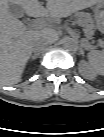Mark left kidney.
<instances>
[{
    "label": "left kidney",
    "instance_id": "5707ae66",
    "mask_svg": "<svg viewBox=\"0 0 104 137\" xmlns=\"http://www.w3.org/2000/svg\"><path fill=\"white\" fill-rule=\"evenodd\" d=\"M80 69L84 75L88 77L94 76L96 73H103V66L99 67L98 70L87 64L85 61L80 62Z\"/></svg>",
    "mask_w": 104,
    "mask_h": 137
}]
</instances>
